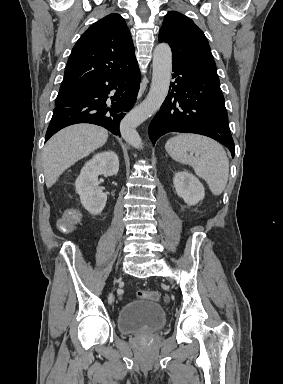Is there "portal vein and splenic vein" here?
I'll return each mask as SVG.
<instances>
[{
  "instance_id": "1",
  "label": "portal vein and splenic vein",
  "mask_w": 283,
  "mask_h": 384,
  "mask_svg": "<svg viewBox=\"0 0 283 384\" xmlns=\"http://www.w3.org/2000/svg\"><path fill=\"white\" fill-rule=\"evenodd\" d=\"M195 156H199V154H195Z\"/></svg>"
}]
</instances>
